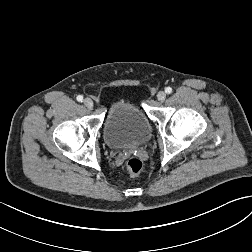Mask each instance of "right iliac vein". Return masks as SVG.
Returning a JSON list of instances; mask_svg holds the SVG:
<instances>
[{
  "instance_id": "1",
  "label": "right iliac vein",
  "mask_w": 252,
  "mask_h": 252,
  "mask_svg": "<svg viewBox=\"0 0 252 252\" xmlns=\"http://www.w3.org/2000/svg\"><path fill=\"white\" fill-rule=\"evenodd\" d=\"M83 103L86 108H88V109L93 108V101L90 98H86Z\"/></svg>"
}]
</instances>
